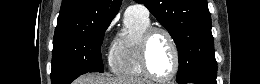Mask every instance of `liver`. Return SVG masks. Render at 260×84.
Here are the masks:
<instances>
[{
    "label": "liver",
    "mask_w": 260,
    "mask_h": 84,
    "mask_svg": "<svg viewBox=\"0 0 260 84\" xmlns=\"http://www.w3.org/2000/svg\"><path fill=\"white\" fill-rule=\"evenodd\" d=\"M77 84H151L139 78H106L95 74H86L77 80Z\"/></svg>",
    "instance_id": "obj_1"
}]
</instances>
